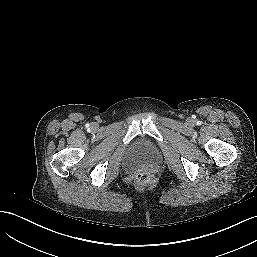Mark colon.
<instances>
[{
  "label": "colon",
  "mask_w": 257,
  "mask_h": 257,
  "mask_svg": "<svg viewBox=\"0 0 257 257\" xmlns=\"http://www.w3.org/2000/svg\"><path fill=\"white\" fill-rule=\"evenodd\" d=\"M136 181L139 185L146 186L153 181V176L148 172H140L136 176Z\"/></svg>",
  "instance_id": "colon-1"
}]
</instances>
